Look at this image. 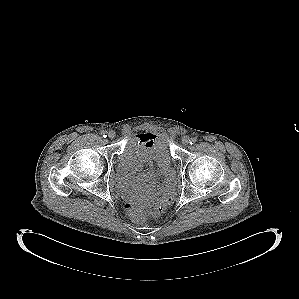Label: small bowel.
<instances>
[{"label": "small bowel", "mask_w": 299, "mask_h": 299, "mask_svg": "<svg viewBox=\"0 0 299 299\" xmlns=\"http://www.w3.org/2000/svg\"><path fill=\"white\" fill-rule=\"evenodd\" d=\"M137 137L143 142V143H150V141L155 137L151 133H145L141 135H137ZM149 162V159H142L139 161L138 166H137V171L141 169L143 162ZM162 173L165 175V181L159 185L156 189L157 194L163 195L166 194L172 185V176L168 173L167 169L165 166L160 165ZM156 174L154 171H150L148 173L143 174L139 179H138V184L139 185H145L147 186L148 190L153 191V183L155 180Z\"/></svg>", "instance_id": "1"}]
</instances>
